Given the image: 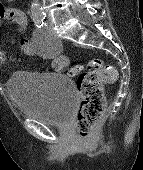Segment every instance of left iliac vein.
I'll list each match as a JSON object with an SVG mask.
<instances>
[{
  "mask_svg": "<svg viewBox=\"0 0 143 170\" xmlns=\"http://www.w3.org/2000/svg\"><path fill=\"white\" fill-rule=\"evenodd\" d=\"M47 22H48V24H51V19L48 18V19H47Z\"/></svg>",
  "mask_w": 143,
  "mask_h": 170,
  "instance_id": "left-iliac-vein-1",
  "label": "left iliac vein"
}]
</instances>
